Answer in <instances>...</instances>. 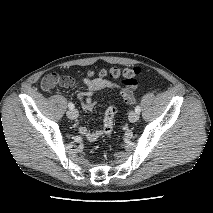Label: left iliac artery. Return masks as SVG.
I'll return each instance as SVG.
<instances>
[{
	"label": "left iliac artery",
	"mask_w": 213,
	"mask_h": 213,
	"mask_svg": "<svg viewBox=\"0 0 213 213\" xmlns=\"http://www.w3.org/2000/svg\"><path fill=\"white\" fill-rule=\"evenodd\" d=\"M135 111L139 114L141 112V107L139 105H137L135 107Z\"/></svg>",
	"instance_id": "1"
}]
</instances>
